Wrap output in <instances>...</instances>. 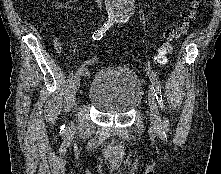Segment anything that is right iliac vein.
Wrapping results in <instances>:
<instances>
[{"label": "right iliac vein", "instance_id": "right-iliac-vein-1", "mask_svg": "<svg viewBox=\"0 0 221 174\" xmlns=\"http://www.w3.org/2000/svg\"><path fill=\"white\" fill-rule=\"evenodd\" d=\"M80 75L81 74L78 72L74 76L73 85H72L73 95L74 96L76 95V93L78 92L79 87H80V81H81V76Z\"/></svg>", "mask_w": 221, "mask_h": 174}]
</instances>
